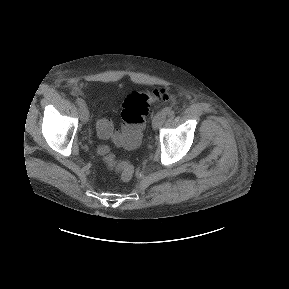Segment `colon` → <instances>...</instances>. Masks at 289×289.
<instances>
[{
  "instance_id": "5ec220e1",
  "label": "colon",
  "mask_w": 289,
  "mask_h": 289,
  "mask_svg": "<svg viewBox=\"0 0 289 289\" xmlns=\"http://www.w3.org/2000/svg\"><path fill=\"white\" fill-rule=\"evenodd\" d=\"M171 96L165 90L152 92H133L122 105V126L115 130L108 119H100L97 122V131L104 139L118 141L127 150H134L140 144V139L145 126V120L156 102L168 101ZM100 153L108 167L121 174L124 180H129L133 175V167L127 161L116 163L107 147L100 148Z\"/></svg>"
}]
</instances>
